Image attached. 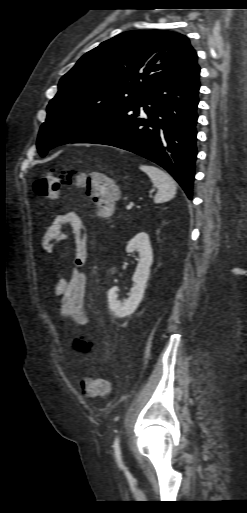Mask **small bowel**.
<instances>
[{
    "instance_id": "obj_1",
    "label": "small bowel",
    "mask_w": 247,
    "mask_h": 513,
    "mask_svg": "<svg viewBox=\"0 0 247 513\" xmlns=\"http://www.w3.org/2000/svg\"><path fill=\"white\" fill-rule=\"evenodd\" d=\"M65 226L70 228L74 241L73 271L69 277L61 274L52 286V291L56 297H59L57 309L59 316L70 318L80 326H87L89 322L85 309L87 277L83 272L87 260V237L83 220L76 212L58 214L43 233L40 246L43 252L53 253L56 247L69 237L64 230ZM88 346V344L84 345V348L88 349Z\"/></svg>"
}]
</instances>
